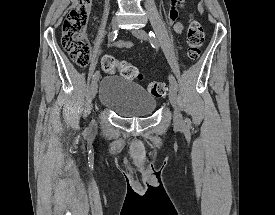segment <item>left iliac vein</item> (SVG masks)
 <instances>
[{
	"label": "left iliac vein",
	"instance_id": "4c4485c4",
	"mask_svg": "<svg viewBox=\"0 0 275 215\" xmlns=\"http://www.w3.org/2000/svg\"><path fill=\"white\" fill-rule=\"evenodd\" d=\"M132 33L135 37H137L140 40H147L148 39V35L147 33L139 28V29H133ZM169 100L171 102V104L174 107V125L176 128H181L183 126L184 120L183 117L178 109V98H177V90L173 85H170V89H169Z\"/></svg>",
	"mask_w": 275,
	"mask_h": 215
}]
</instances>
